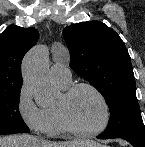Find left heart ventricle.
Listing matches in <instances>:
<instances>
[{"instance_id":"b2bd125f","label":"left heart ventricle","mask_w":145,"mask_h":147,"mask_svg":"<svg viewBox=\"0 0 145 147\" xmlns=\"http://www.w3.org/2000/svg\"><path fill=\"white\" fill-rule=\"evenodd\" d=\"M62 101V96L57 104ZM71 122L81 130L100 127L105 118L104 107L99 98L88 89H80L66 104Z\"/></svg>"}]
</instances>
